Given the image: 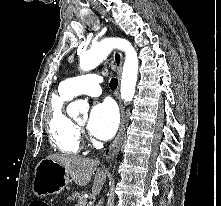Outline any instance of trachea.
Returning <instances> with one entry per match:
<instances>
[{"label": "trachea", "mask_w": 221, "mask_h": 206, "mask_svg": "<svg viewBox=\"0 0 221 206\" xmlns=\"http://www.w3.org/2000/svg\"><path fill=\"white\" fill-rule=\"evenodd\" d=\"M117 85H118L117 78H112L109 84L111 90H115L117 88Z\"/></svg>", "instance_id": "1"}]
</instances>
